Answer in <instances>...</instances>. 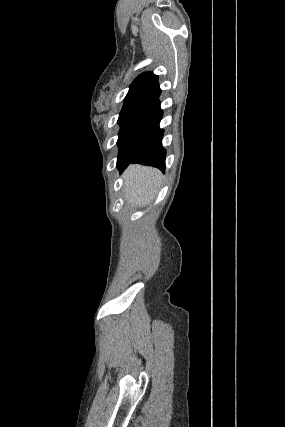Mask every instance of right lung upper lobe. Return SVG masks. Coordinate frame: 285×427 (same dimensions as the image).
<instances>
[{"mask_svg":"<svg viewBox=\"0 0 285 427\" xmlns=\"http://www.w3.org/2000/svg\"><path fill=\"white\" fill-rule=\"evenodd\" d=\"M160 93L157 76L152 72L142 73L130 85L118 120L133 116H147L160 106Z\"/></svg>","mask_w":285,"mask_h":427,"instance_id":"cb5924a9","label":"right lung upper lobe"}]
</instances>
